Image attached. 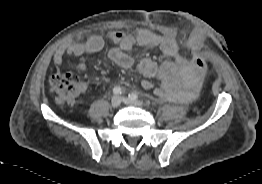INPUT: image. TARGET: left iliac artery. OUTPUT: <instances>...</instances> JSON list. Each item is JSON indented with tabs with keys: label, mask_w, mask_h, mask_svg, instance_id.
<instances>
[{
	"label": "left iliac artery",
	"mask_w": 262,
	"mask_h": 184,
	"mask_svg": "<svg viewBox=\"0 0 262 184\" xmlns=\"http://www.w3.org/2000/svg\"><path fill=\"white\" fill-rule=\"evenodd\" d=\"M129 98L136 100V99H138V94L137 93H130Z\"/></svg>",
	"instance_id": "left-iliac-artery-1"
}]
</instances>
